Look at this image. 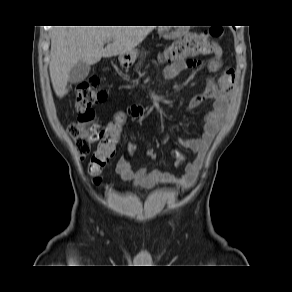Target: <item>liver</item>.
Listing matches in <instances>:
<instances>
[{"instance_id":"1","label":"liver","mask_w":292,"mask_h":292,"mask_svg":"<svg viewBox=\"0 0 292 292\" xmlns=\"http://www.w3.org/2000/svg\"><path fill=\"white\" fill-rule=\"evenodd\" d=\"M152 26H56L51 34L50 78L59 98L65 96L70 70L78 63L93 65L102 57L131 52ZM112 40L104 48V44Z\"/></svg>"}]
</instances>
